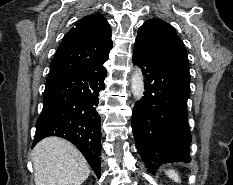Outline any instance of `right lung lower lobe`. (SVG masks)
I'll return each instance as SVG.
<instances>
[{
	"label": "right lung lower lobe",
	"instance_id": "98d812e1",
	"mask_svg": "<svg viewBox=\"0 0 233 185\" xmlns=\"http://www.w3.org/2000/svg\"><path fill=\"white\" fill-rule=\"evenodd\" d=\"M106 75L103 66L50 74L33 143L34 146L47 136L71 141L98 178L101 175V119L96 106L99 92L105 89Z\"/></svg>",
	"mask_w": 233,
	"mask_h": 185
}]
</instances>
